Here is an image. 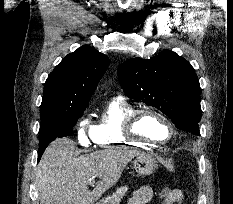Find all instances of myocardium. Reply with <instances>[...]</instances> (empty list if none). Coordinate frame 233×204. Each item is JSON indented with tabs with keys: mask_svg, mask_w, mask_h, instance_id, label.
<instances>
[{
	"mask_svg": "<svg viewBox=\"0 0 233 204\" xmlns=\"http://www.w3.org/2000/svg\"><path fill=\"white\" fill-rule=\"evenodd\" d=\"M153 114L159 117L167 126L169 134L168 137L164 140L158 141L153 140L147 137L140 135L136 131V124L138 118L143 114ZM124 133L125 135L132 140L140 141L149 145H163L168 143L174 136L175 130L171 120L160 110L151 107V106H144L140 108L133 109L132 112L127 116L124 124Z\"/></svg>",
	"mask_w": 233,
	"mask_h": 204,
	"instance_id": "f54148a6",
	"label": "myocardium"
}]
</instances>
